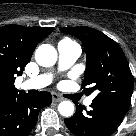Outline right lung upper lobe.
I'll list each match as a JSON object with an SVG mask.
<instances>
[{"mask_svg":"<svg viewBox=\"0 0 136 136\" xmlns=\"http://www.w3.org/2000/svg\"><path fill=\"white\" fill-rule=\"evenodd\" d=\"M53 28L6 25L0 28V104L24 92H18L14 82L30 62L36 45L48 36Z\"/></svg>","mask_w":136,"mask_h":136,"instance_id":"cb5924a9","label":"right lung upper lobe"}]
</instances>
